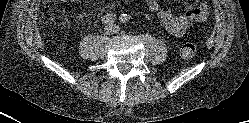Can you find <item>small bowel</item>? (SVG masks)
Listing matches in <instances>:
<instances>
[{
  "label": "small bowel",
  "instance_id": "small-bowel-1",
  "mask_svg": "<svg viewBox=\"0 0 249 123\" xmlns=\"http://www.w3.org/2000/svg\"><path fill=\"white\" fill-rule=\"evenodd\" d=\"M60 2H76L79 0H58ZM131 0H125L130 2ZM148 9L155 13L162 26L170 34L181 37L195 22L204 21L209 14V3L207 0H193L180 15H174L167 7L162 6L157 0H143Z\"/></svg>",
  "mask_w": 249,
  "mask_h": 123
}]
</instances>
